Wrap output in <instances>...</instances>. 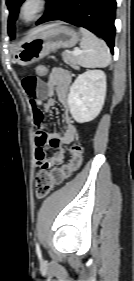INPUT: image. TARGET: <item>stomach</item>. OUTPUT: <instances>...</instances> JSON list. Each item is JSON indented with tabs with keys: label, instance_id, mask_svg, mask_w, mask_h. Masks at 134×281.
Masks as SVG:
<instances>
[{
	"label": "stomach",
	"instance_id": "stomach-1",
	"mask_svg": "<svg viewBox=\"0 0 134 281\" xmlns=\"http://www.w3.org/2000/svg\"><path fill=\"white\" fill-rule=\"evenodd\" d=\"M79 35L72 28L59 24L28 37L14 52V61L21 66H28L59 48L76 45Z\"/></svg>",
	"mask_w": 134,
	"mask_h": 281
}]
</instances>
